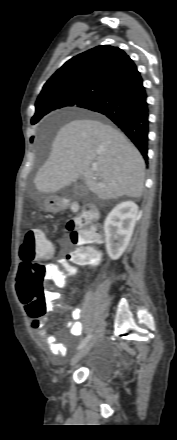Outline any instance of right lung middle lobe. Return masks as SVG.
<instances>
[{
    "instance_id": "obj_1",
    "label": "right lung middle lobe",
    "mask_w": 177,
    "mask_h": 440,
    "mask_svg": "<svg viewBox=\"0 0 177 440\" xmlns=\"http://www.w3.org/2000/svg\"><path fill=\"white\" fill-rule=\"evenodd\" d=\"M103 95L98 93H87V92H63L60 93L42 103L36 105L35 115L31 119L32 124H36L43 116L48 114L53 110H57L64 107H80L87 108L89 105L93 104Z\"/></svg>"
}]
</instances>
